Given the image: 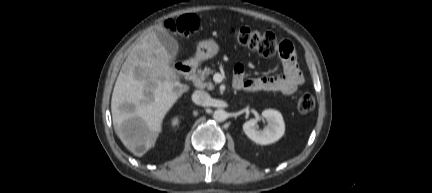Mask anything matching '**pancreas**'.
<instances>
[{"instance_id":"pancreas-1","label":"pancreas","mask_w":432,"mask_h":193,"mask_svg":"<svg viewBox=\"0 0 432 193\" xmlns=\"http://www.w3.org/2000/svg\"><path fill=\"white\" fill-rule=\"evenodd\" d=\"M214 72V70H212L211 68H204L202 69H198L197 73L195 75H193L192 81L193 84L201 89L207 88L208 90H213L214 85L212 84L211 81H207V76L209 74H212Z\"/></svg>"}]
</instances>
